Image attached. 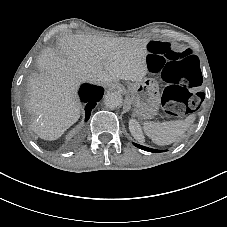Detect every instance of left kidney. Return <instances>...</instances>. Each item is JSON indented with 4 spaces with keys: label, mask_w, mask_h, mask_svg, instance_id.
I'll return each instance as SVG.
<instances>
[{
    "label": "left kidney",
    "mask_w": 227,
    "mask_h": 227,
    "mask_svg": "<svg viewBox=\"0 0 227 227\" xmlns=\"http://www.w3.org/2000/svg\"><path fill=\"white\" fill-rule=\"evenodd\" d=\"M129 130L132 136L138 141L143 143L144 142V135L141 129L140 124L135 119L129 120Z\"/></svg>",
    "instance_id": "left-kidney-1"
}]
</instances>
